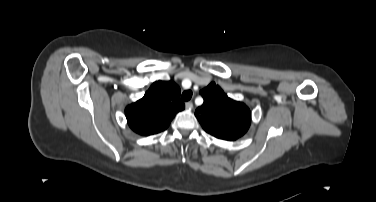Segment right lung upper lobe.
I'll return each instance as SVG.
<instances>
[{"label": "right lung upper lobe", "instance_id": "1", "mask_svg": "<svg viewBox=\"0 0 376 202\" xmlns=\"http://www.w3.org/2000/svg\"><path fill=\"white\" fill-rule=\"evenodd\" d=\"M180 93L173 81L154 82L142 99L126 107L129 127L143 136L164 131L176 113L185 108Z\"/></svg>", "mask_w": 376, "mask_h": 202}]
</instances>
